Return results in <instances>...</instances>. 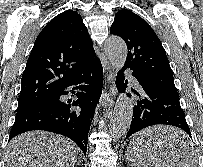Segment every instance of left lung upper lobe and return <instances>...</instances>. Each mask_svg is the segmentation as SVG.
I'll use <instances>...</instances> for the list:
<instances>
[{
    "label": "left lung upper lobe",
    "mask_w": 203,
    "mask_h": 167,
    "mask_svg": "<svg viewBox=\"0 0 203 167\" xmlns=\"http://www.w3.org/2000/svg\"><path fill=\"white\" fill-rule=\"evenodd\" d=\"M110 33L120 36L127 44L128 54L124 68L131 69L162 87L175 88L165 50L145 20L130 10H119Z\"/></svg>",
    "instance_id": "obj_1"
}]
</instances>
